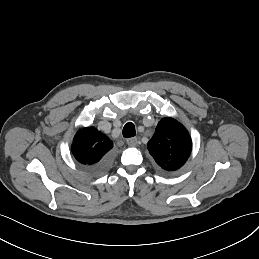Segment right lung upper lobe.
<instances>
[{
    "label": "right lung upper lobe",
    "mask_w": 259,
    "mask_h": 259,
    "mask_svg": "<svg viewBox=\"0 0 259 259\" xmlns=\"http://www.w3.org/2000/svg\"><path fill=\"white\" fill-rule=\"evenodd\" d=\"M113 148V142L95 127L80 129L71 146L75 159L83 165H93L102 160Z\"/></svg>",
    "instance_id": "1"
}]
</instances>
